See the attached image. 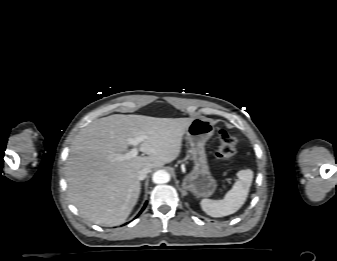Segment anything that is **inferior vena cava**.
Segmentation results:
<instances>
[{
    "label": "inferior vena cava",
    "mask_w": 337,
    "mask_h": 261,
    "mask_svg": "<svg viewBox=\"0 0 337 261\" xmlns=\"http://www.w3.org/2000/svg\"><path fill=\"white\" fill-rule=\"evenodd\" d=\"M150 169L149 168H143L138 171L137 177L139 180H144L147 177V174L149 173Z\"/></svg>",
    "instance_id": "602c4592"
}]
</instances>
